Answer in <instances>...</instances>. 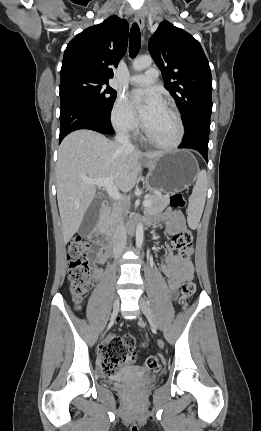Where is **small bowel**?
Wrapping results in <instances>:
<instances>
[{
	"instance_id": "small-bowel-1",
	"label": "small bowel",
	"mask_w": 261,
	"mask_h": 431,
	"mask_svg": "<svg viewBox=\"0 0 261 431\" xmlns=\"http://www.w3.org/2000/svg\"><path fill=\"white\" fill-rule=\"evenodd\" d=\"M154 221L166 222L169 229L176 230L184 227V217L180 212L166 210L160 217H148L147 223ZM169 250V245H166ZM93 273L96 279H99L102 275V270L97 268L99 264H105L108 261V256L103 250L98 248H91L89 251ZM162 273L168 278L169 294L175 298L178 294L180 285L186 280L193 277L194 269L190 262L178 263L174 256L167 252L164 263L161 265ZM148 346V343H144ZM135 361V360H134Z\"/></svg>"
}]
</instances>
